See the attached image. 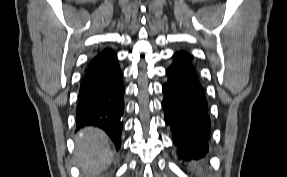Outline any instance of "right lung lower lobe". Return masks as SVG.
<instances>
[{"mask_svg": "<svg viewBox=\"0 0 287 177\" xmlns=\"http://www.w3.org/2000/svg\"><path fill=\"white\" fill-rule=\"evenodd\" d=\"M123 75L115 52L105 49L89 62L80 82L76 127L96 126L121 146L124 111Z\"/></svg>", "mask_w": 287, "mask_h": 177, "instance_id": "obj_1", "label": "right lung lower lobe"}]
</instances>
